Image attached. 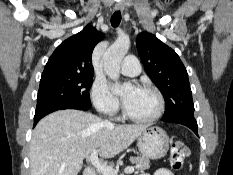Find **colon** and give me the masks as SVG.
Returning <instances> with one entry per match:
<instances>
[{"label":"colon","mask_w":233,"mask_h":175,"mask_svg":"<svg viewBox=\"0 0 233 175\" xmlns=\"http://www.w3.org/2000/svg\"><path fill=\"white\" fill-rule=\"evenodd\" d=\"M189 154L188 145L180 140L174 141L171 146L170 163L173 169L180 170L184 165V160Z\"/></svg>","instance_id":"colon-1"}]
</instances>
